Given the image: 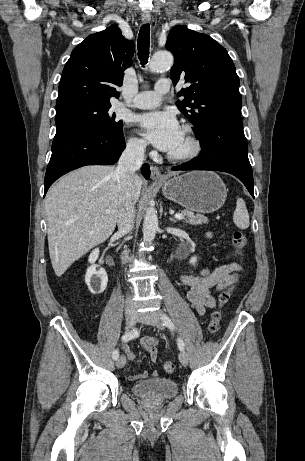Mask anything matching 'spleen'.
<instances>
[{
	"label": "spleen",
	"mask_w": 305,
	"mask_h": 461,
	"mask_svg": "<svg viewBox=\"0 0 305 461\" xmlns=\"http://www.w3.org/2000/svg\"><path fill=\"white\" fill-rule=\"evenodd\" d=\"M233 222L240 229H246L250 225L249 214L242 198H237L236 209L233 214Z\"/></svg>",
	"instance_id": "1"
}]
</instances>
